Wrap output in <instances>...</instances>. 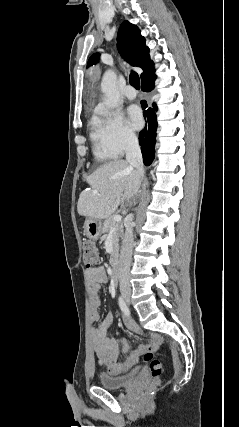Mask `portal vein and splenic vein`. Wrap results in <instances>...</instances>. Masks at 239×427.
<instances>
[{"instance_id": "obj_1", "label": "portal vein and splenic vein", "mask_w": 239, "mask_h": 427, "mask_svg": "<svg viewBox=\"0 0 239 427\" xmlns=\"http://www.w3.org/2000/svg\"><path fill=\"white\" fill-rule=\"evenodd\" d=\"M113 220H114L115 222L119 223V222H121L122 217H121L120 215H115V216L113 217ZM115 228H116V225H114V226L112 227V229H115Z\"/></svg>"}]
</instances>
